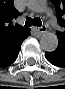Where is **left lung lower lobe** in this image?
I'll return each instance as SVG.
<instances>
[{
    "label": "left lung lower lobe",
    "instance_id": "0a47b994",
    "mask_svg": "<svg viewBox=\"0 0 65 89\" xmlns=\"http://www.w3.org/2000/svg\"><path fill=\"white\" fill-rule=\"evenodd\" d=\"M58 47L53 52H46L47 60L58 67H65V35L57 34Z\"/></svg>",
    "mask_w": 65,
    "mask_h": 89
}]
</instances>
